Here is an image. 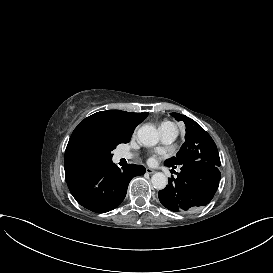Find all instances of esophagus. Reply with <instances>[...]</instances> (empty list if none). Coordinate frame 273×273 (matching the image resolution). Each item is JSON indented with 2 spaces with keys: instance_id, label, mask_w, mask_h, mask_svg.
Returning <instances> with one entry per match:
<instances>
[{
  "instance_id": "1",
  "label": "esophagus",
  "mask_w": 273,
  "mask_h": 273,
  "mask_svg": "<svg viewBox=\"0 0 273 273\" xmlns=\"http://www.w3.org/2000/svg\"><path fill=\"white\" fill-rule=\"evenodd\" d=\"M155 171L151 168H146V173L147 174H153Z\"/></svg>"
}]
</instances>
